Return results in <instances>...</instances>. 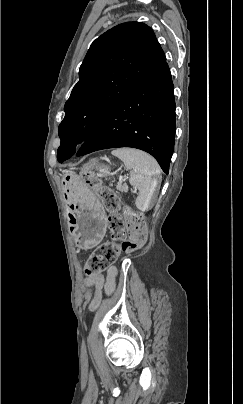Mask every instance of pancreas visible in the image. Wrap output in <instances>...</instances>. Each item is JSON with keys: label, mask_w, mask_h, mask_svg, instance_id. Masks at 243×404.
I'll return each mask as SVG.
<instances>
[{"label": "pancreas", "mask_w": 243, "mask_h": 404, "mask_svg": "<svg viewBox=\"0 0 243 404\" xmlns=\"http://www.w3.org/2000/svg\"><path fill=\"white\" fill-rule=\"evenodd\" d=\"M116 190H119V192H129L127 184H122V182H118Z\"/></svg>", "instance_id": "1"}]
</instances>
